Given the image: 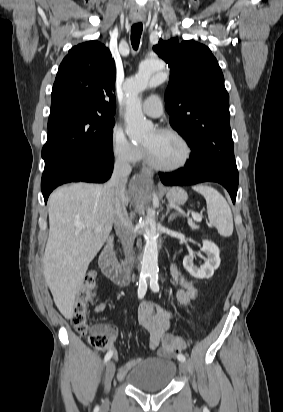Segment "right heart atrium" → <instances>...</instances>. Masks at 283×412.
I'll return each mask as SVG.
<instances>
[{"label":"right heart atrium","instance_id":"d8ad5b80","mask_svg":"<svg viewBox=\"0 0 283 412\" xmlns=\"http://www.w3.org/2000/svg\"><path fill=\"white\" fill-rule=\"evenodd\" d=\"M110 148L113 156L126 164H134L142 156L141 146L131 142L120 125L111 130Z\"/></svg>","mask_w":283,"mask_h":412}]
</instances>
